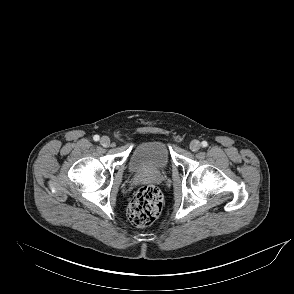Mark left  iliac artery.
Wrapping results in <instances>:
<instances>
[{"label": "left iliac artery", "instance_id": "left-iliac-artery-1", "mask_svg": "<svg viewBox=\"0 0 294 294\" xmlns=\"http://www.w3.org/2000/svg\"><path fill=\"white\" fill-rule=\"evenodd\" d=\"M201 144H202L203 147H207L208 146V143L206 141H203Z\"/></svg>", "mask_w": 294, "mask_h": 294}]
</instances>
